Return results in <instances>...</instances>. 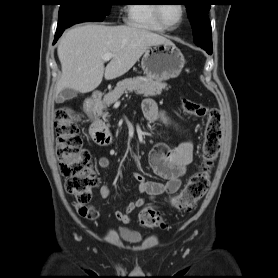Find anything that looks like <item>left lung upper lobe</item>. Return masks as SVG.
Returning a JSON list of instances; mask_svg holds the SVG:
<instances>
[{"label":"left lung upper lobe","mask_w":278,"mask_h":278,"mask_svg":"<svg viewBox=\"0 0 278 278\" xmlns=\"http://www.w3.org/2000/svg\"><path fill=\"white\" fill-rule=\"evenodd\" d=\"M193 29L194 42L204 49H212L211 23L208 18L210 0H185Z\"/></svg>","instance_id":"left-lung-upper-lobe-1"}]
</instances>
